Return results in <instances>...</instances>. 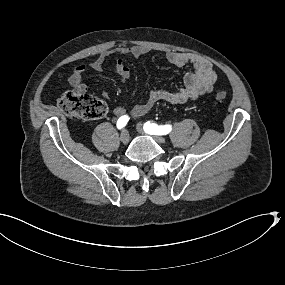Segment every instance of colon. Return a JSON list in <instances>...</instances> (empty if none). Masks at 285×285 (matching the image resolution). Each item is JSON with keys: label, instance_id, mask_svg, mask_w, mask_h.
<instances>
[{"label": "colon", "instance_id": "colon-1", "mask_svg": "<svg viewBox=\"0 0 285 285\" xmlns=\"http://www.w3.org/2000/svg\"><path fill=\"white\" fill-rule=\"evenodd\" d=\"M226 98L225 91L215 94L218 102H223ZM58 107L67 116L81 120L99 119L107 113V106L102 100L76 90L65 92L58 100Z\"/></svg>", "mask_w": 285, "mask_h": 285}]
</instances>
